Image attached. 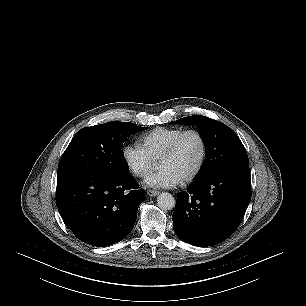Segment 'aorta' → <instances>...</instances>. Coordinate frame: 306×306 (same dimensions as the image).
<instances>
[{
    "label": "aorta",
    "instance_id": "1",
    "mask_svg": "<svg viewBox=\"0 0 306 306\" xmlns=\"http://www.w3.org/2000/svg\"><path fill=\"white\" fill-rule=\"evenodd\" d=\"M158 207L162 210H171L175 206V199L170 193H161L157 198Z\"/></svg>",
    "mask_w": 306,
    "mask_h": 306
}]
</instances>
